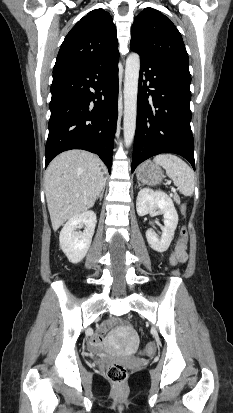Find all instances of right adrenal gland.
<instances>
[{
    "label": "right adrenal gland",
    "mask_w": 233,
    "mask_h": 413,
    "mask_svg": "<svg viewBox=\"0 0 233 413\" xmlns=\"http://www.w3.org/2000/svg\"><path fill=\"white\" fill-rule=\"evenodd\" d=\"M104 190H105V187L103 188V190L101 191V193H100V194L98 195V197H97V198L100 199V201H101L102 198H103Z\"/></svg>",
    "instance_id": "2a0ac1e0"
}]
</instances>
